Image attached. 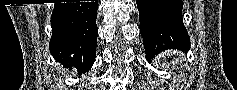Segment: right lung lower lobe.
<instances>
[{"mask_svg":"<svg viewBox=\"0 0 237 90\" xmlns=\"http://www.w3.org/2000/svg\"><path fill=\"white\" fill-rule=\"evenodd\" d=\"M96 2L56 3L51 16L50 52L57 62L83 72L95 60L98 28Z\"/></svg>","mask_w":237,"mask_h":90,"instance_id":"98d812e1","label":"right lung lower lobe"}]
</instances>
